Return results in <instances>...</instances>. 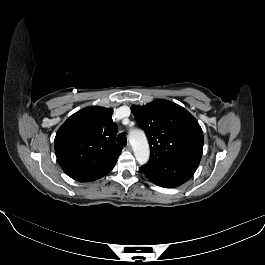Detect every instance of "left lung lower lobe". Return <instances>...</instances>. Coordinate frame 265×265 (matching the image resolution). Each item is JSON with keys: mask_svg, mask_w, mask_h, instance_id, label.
<instances>
[{"mask_svg": "<svg viewBox=\"0 0 265 265\" xmlns=\"http://www.w3.org/2000/svg\"><path fill=\"white\" fill-rule=\"evenodd\" d=\"M201 156H191L158 164L144 165L146 177L155 184L173 188L188 181L195 173Z\"/></svg>", "mask_w": 265, "mask_h": 265, "instance_id": "left-lung-lower-lobe-1", "label": "left lung lower lobe"}]
</instances>
